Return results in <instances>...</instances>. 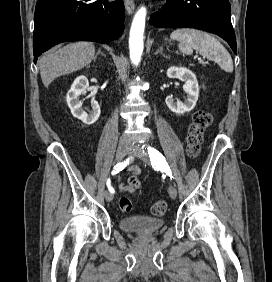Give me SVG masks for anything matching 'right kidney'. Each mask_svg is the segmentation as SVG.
I'll list each match as a JSON object with an SVG mask.
<instances>
[{
  "label": "right kidney",
  "mask_w": 272,
  "mask_h": 282,
  "mask_svg": "<svg viewBox=\"0 0 272 282\" xmlns=\"http://www.w3.org/2000/svg\"><path fill=\"white\" fill-rule=\"evenodd\" d=\"M88 87V79L84 75L78 76L67 93L66 101L74 117L81 120L85 125H92L98 120L101 111L98 102L94 99L91 101L92 110L89 114L83 110L82 101L79 98L86 93Z\"/></svg>",
  "instance_id": "obj_1"
}]
</instances>
